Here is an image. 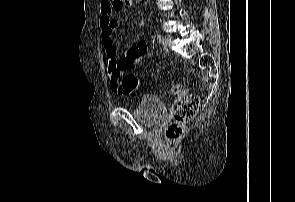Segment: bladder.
<instances>
[{"label": "bladder", "mask_w": 295, "mask_h": 202, "mask_svg": "<svg viewBox=\"0 0 295 202\" xmlns=\"http://www.w3.org/2000/svg\"><path fill=\"white\" fill-rule=\"evenodd\" d=\"M166 114V103L154 95L143 96L134 109L135 117L149 126L161 123L166 118Z\"/></svg>", "instance_id": "obj_1"}]
</instances>
